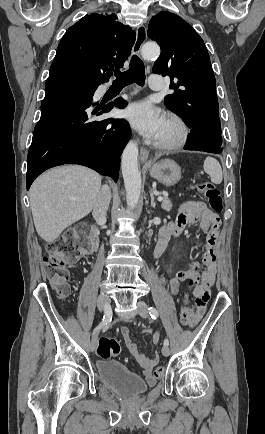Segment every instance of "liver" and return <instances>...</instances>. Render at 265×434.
Here are the masks:
<instances>
[{"label": "liver", "mask_w": 265, "mask_h": 434, "mask_svg": "<svg viewBox=\"0 0 265 434\" xmlns=\"http://www.w3.org/2000/svg\"><path fill=\"white\" fill-rule=\"evenodd\" d=\"M101 188V176L83 166H62L33 182L29 192L36 232L55 242L65 228L88 216Z\"/></svg>", "instance_id": "obj_1"}]
</instances>
